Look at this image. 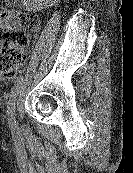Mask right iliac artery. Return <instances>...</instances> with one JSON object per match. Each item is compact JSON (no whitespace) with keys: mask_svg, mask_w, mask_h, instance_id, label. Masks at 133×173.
<instances>
[{"mask_svg":"<svg viewBox=\"0 0 133 173\" xmlns=\"http://www.w3.org/2000/svg\"><path fill=\"white\" fill-rule=\"evenodd\" d=\"M22 80H23L22 76H20L16 79L15 84H14L12 91H11V94H10L9 102H8L7 114H8L9 124L12 128L15 126L14 112H15L16 96H17V92L19 90V87L22 83Z\"/></svg>","mask_w":133,"mask_h":173,"instance_id":"82829eb1","label":"right iliac artery"}]
</instances>
